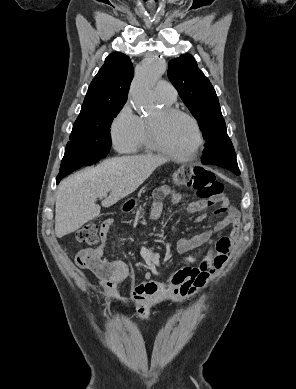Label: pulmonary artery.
Instances as JSON below:
<instances>
[{
    "instance_id": "1",
    "label": "pulmonary artery",
    "mask_w": 296,
    "mask_h": 389,
    "mask_svg": "<svg viewBox=\"0 0 296 389\" xmlns=\"http://www.w3.org/2000/svg\"><path fill=\"white\" fill-rule=\"evenodd\" d=\"M155 91L158 96L167 102H174L177 97V91L175 87L166 80H160L155 85Z\"/></svg>"
}]
</instances>
